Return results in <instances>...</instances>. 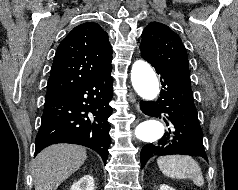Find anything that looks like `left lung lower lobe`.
I'll return each mask as SVG.
<instances>
[{"instance_id": "obj_1", "label": "left lung lower lobe", "mask_w": 238, "mask_h": 190, "mask_svg": "<svg viewBox=\"0 0 238 190\" xmlns=\"http://www.w3.org/2000/svg\"><path fill=\"white\" fill-rule=\"evenodd\" d=\"M161 76L160 98L141 102L144 114L159 117L171 128L157 142L145 145L140 154L141 166L154 155H198L207 159L203 146V132L194 104L189 73L151 64Z\"/></svg>"}]
</instances>
